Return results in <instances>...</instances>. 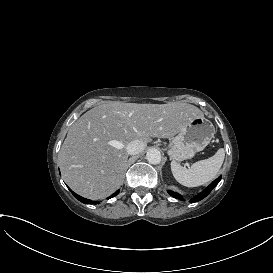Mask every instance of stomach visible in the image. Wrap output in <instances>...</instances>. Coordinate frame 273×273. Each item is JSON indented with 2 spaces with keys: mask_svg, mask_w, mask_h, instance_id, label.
Segmentation results:
<instances>
[{
  "mask_svg": "<svg viewBox=\"0 0 273 273\" xmlns=\"http://www.w3.org/2000/svg\"><path fill=\"white\" fill-rule=\"evenodd\" d=\"M214 134L215 127L208 119L196 117L172 139L168 155L175 161L190 159L210 143Z\"/></svg>",
  "mask_w": 273,
  "mask_h": 273,
  "instance_id": "stomach-1",
  "label": "stomach"
}]
</instances>
